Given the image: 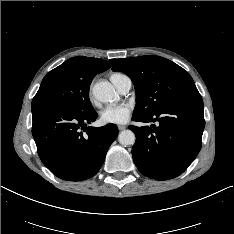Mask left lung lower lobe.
Here are the masks:
<instances>
[{"label":"left lung lower lobe","mask_w":234,"mask_h":234,"mask_svg":"<svg viewBox=\"0 0 234 234\" xmlns=\"http://www.w3.org/2000/svg\"><path fill=\"white\" fill-rule=\"evenodd\" d=\"M139 122H157L151 127L129 126L136 142L132 156L138 170L156 180L182 174L198 155L205 127L203 101L199 93L182 98Z\"/></svg>","instance_id":"1"}]
</instances>
